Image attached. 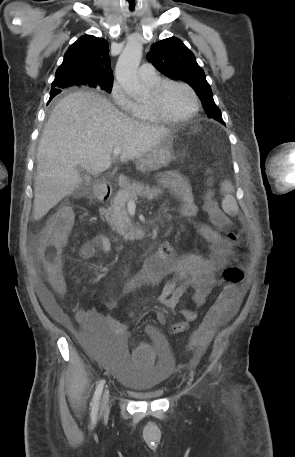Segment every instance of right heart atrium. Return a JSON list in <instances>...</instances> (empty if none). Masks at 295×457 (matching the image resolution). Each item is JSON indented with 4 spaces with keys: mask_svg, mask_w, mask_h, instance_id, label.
Returning <instances> with one entry per match:
<instances>
[{
    "mask_svg": "<svg viewBox=\"0 0 295 457\" xmlns=\"http://www.w3.org/2000/svg\"><path fill=\"white\" fill-rule=\"evenodd\" d=\"M110 96L113 102L123 111L133 114L135 110V102L125 93L118 83H114L111 87Z\"/></svg>",
    "mask_w": 295,
    "mask_h": 457,
    "instance_id": "1",
    "label": "right heart atrium"
}]
</instances>
